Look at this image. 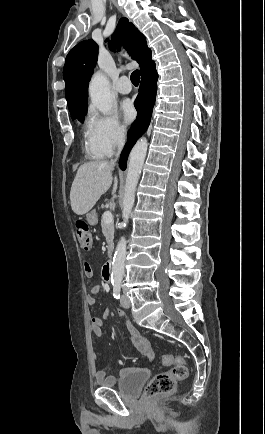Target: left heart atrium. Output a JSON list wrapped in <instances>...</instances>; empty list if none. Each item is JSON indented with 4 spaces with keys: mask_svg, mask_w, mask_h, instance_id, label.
<instances>
[{
    "mask_svg": "<svg viewBox=\"0 0 265 434\" xmlns=\"http://www.w3.org/2000/svg\"><path fill=\"white\" fill-rule=\"evenodd\" d=\"M122 109L125 120L127 122L133 121L136 116L135 108L131 104H125Z\"/></svg>",
    "mask_w": 265,
    "mask_h": 434,
    "instance_id": "left-heart-atrium-1",
    "label": "left heart atrium"
}]
</instances>
